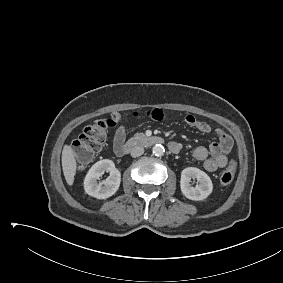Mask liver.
I'll list each match as a JSON object with an SVG mask.
<instances>
[{"mask_svg":"<svg viewBox=\"0 0 283 283\" xmlns=\"http://www.w3.org/2000/svg\"><path fill=\"white\" fill-rule=\"evenodd\" d=\"M75 154L70 145H64L62 150V169L65 180L68 185L72 186L76 175L77 163L74 160Z\"/></svg>","mask_w":283,"mask_h":283,"instance_id":"6515ba94","label":"liver"}]
</instances>
